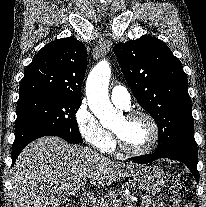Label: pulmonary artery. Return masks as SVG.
Listing matches in <instances>:
<instances>
[{
	"label": "pulmonary artery",
	"instance_id": "pulmonary-artery-1",
	"mask_svg": "<svg viewBox=\"0 0 206 207\" xmlns=\"http://www.w3.org/2000/svg\"><path fill=\"white\" fill-rule=\"evenodd\" d=\"M111 101L122 109H128L130 107L131 96L124 86L117 85L111 91Z\"/></svg>",
	"mask_w": 206,
	"mask_h": 207
}]
</instances>
